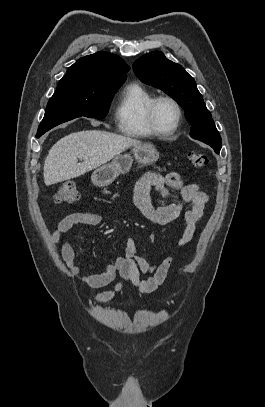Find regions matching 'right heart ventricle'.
Masks as SVG:
<instances>
[{
  "label": "right heart ventricle",
  "instance_id": "1",
  "mask_svg": "<svg viewBox=\"0 0 265 407\" xmlns=\"http://www.w3.org/2000/svg\"><path fill=\"white\" fill-rule=\"evenodd\" d=\"M154 95L139 83L128 84L120 94L115 108L118 130L129 137L147 138L155 134L147 122V108Z\"/></svg>",
  "mask_w": 265,
  "mask_h": 407
}]
</instances>
